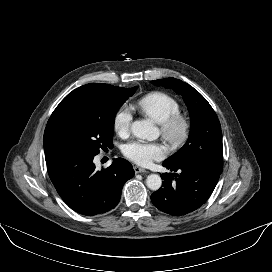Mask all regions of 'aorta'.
<instances>
[{"instance_id": "obj_1", "label": "aorta", "mask_w": 272, "mask_h": 272, "mask_svg": "<svg viewBox=\"0 0 272 272\" xmlns=\"http://www.w3.org/2000/svg\"><path fill=\"white\" fill-rule=\"evenodd\" d=\"M134 136L140 139L155 140L159 136V131L150 121L137 120L131 125ZM146 185L149 189L157 191L162 185V179L157 174H150L146 179Z\"/></svg>"}]
</instances>
